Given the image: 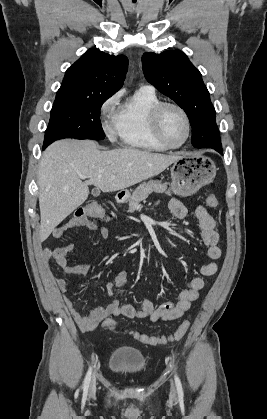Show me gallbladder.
Masks as SVG:
<instances>
[{
	"mask_svg": "<svg viewBox=\"0 0 267 419\" xmlns=\"http://www.w3.org/2000/svg\"><path fill=\"white\" fill-rule=\"evenodd\" d=\"M100 194V190L98 189V188H95L93 191H92V195L93 196H98Z\"/></svg>",
	"mask_w": 267,
	"mask_h": 419,
	"instance_id": "gallbladder-1",
	"label": "gallbladder"
}]
</instances>
